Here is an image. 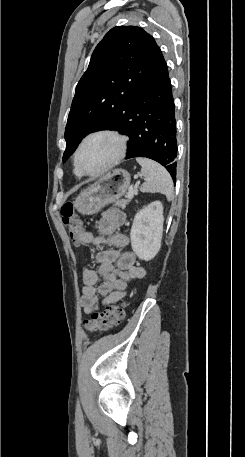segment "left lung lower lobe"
<instances>
[{
    "label": "left lung lower lobe",
    "mask_w": 245,
    "mask_h": 457,
    "mask_svg": "<svg viewBox=\"0 0 245 457\" xmlns=\"http://www.w3.org/2000/svg\"><path fill=\"white\" fill-rule=\"evenodd\" d=\"M147 94L116 130L130 137L126 159L146 157L176 177L177 128L168 67L161 53L147 86Z\"/></svg>",
    "instance_id": "obj_1"
}]
</instances>
